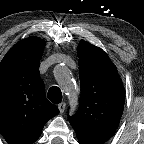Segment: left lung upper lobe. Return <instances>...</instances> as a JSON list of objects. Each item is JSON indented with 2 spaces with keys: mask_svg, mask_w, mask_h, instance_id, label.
Wrapping results in <instances>:
<instances>
[{
  "mask_svg": "<svg viewBox=\"0 0 144 144\" xmlns=\"http://www.w3.org/2000/svg\"><path fill=\"white\" fill-rule=\"evenodd\" d=\"M81 95L79 110L69 117L80 144H104L115 133L123 113L125 90L115 65L100 48L78 45Z\"/></svg>",
  "mask_w": 144,
  "mask_h": 144,
  "instance_id": "obj_1",
  "label": "left lung upper lobe"
}]
</instances>
